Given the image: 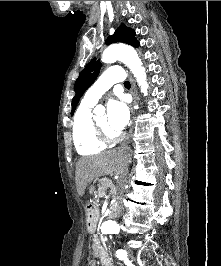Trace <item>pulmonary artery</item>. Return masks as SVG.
I'll return each mask as SVG.
<instances>
[{
  "instance_id": "pulmonary-artery-1",
  "label": "pulmonary artery",
  "mask_w": 221,
  "mask_h": 266,
  "mask_svg": "<svg viewBox=\"0 0 221 266\" xmlns=\"http://www.w3.org/2000/svg\"><path fill=\"white\" fill-rule=\"evenodd\" d=\"M124 72L118 65L110 66L85 93L81 104L94 106L99 98L117 82L124 80Z\"/></svg>"
}]
</instances>
